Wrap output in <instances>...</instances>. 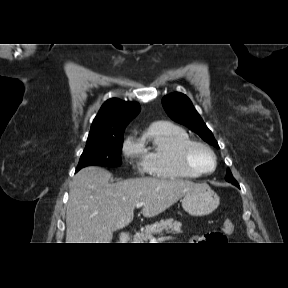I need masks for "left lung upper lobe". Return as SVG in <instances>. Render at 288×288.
Masks as SVG:
<instances>
[{"label":"left lung upper lobe","mask_w":288,"mask_h":288,"mask_svg":"<svg viewBox=\"0 0 288 288\" xmlns=\"http://www.w3.org/2000/svg\"><path fill=\"white\" fill-rule=\"evenodd\" d=\"M162 104L171 119L187 126L207 143L219 148L212 132L207 128L186 95L180 92H174L163 97ZM225 179L230 183L236 181L229 168L227 169Z\"/></svg>","instance_id":"5c2ea615"}]
</instances>
